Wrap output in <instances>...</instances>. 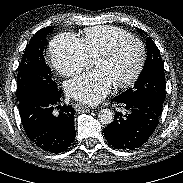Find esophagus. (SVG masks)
Here are the masks:
<instances>
[{
  "label": "esophagus",
  "mask_w": 183,
  "mask_h": 183,
  "mask_svg": "<svg viewBox=\"0 0 183 183\" xmlns=\"http://www.w3.org/2000/svg\"><path fill=\"white\" fill-rule=\"evenodd\" d=\"M94 109H95L94 107L84 106V105H82L81 103H77V104L75 105V110H76L78 113L87 112V111H92V110H94Z\"/></svg>",
  "instance_id": "34e87169"
}]
</instances>
